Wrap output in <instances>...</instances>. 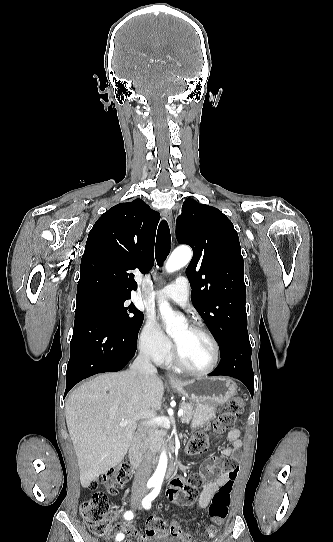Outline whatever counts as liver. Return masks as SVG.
<instances>
[{
	"label": "liver",
	"mask_w": 333,
	"mask_h": 542,
	"mask_svg": "<svg viewBox=\"0 0 333 542\" xmlns=\"http://www.w3.org/2000/svg\"><path fill=\"white\" fill-rule=\"evenodd\" d=\"M138 372L101 374L76 388L65 406L80 482L88 488L124 460L137 428L136 416L161 410L164 386L151 376L145 386ZM128 420V426H120Z\"/></svg>",
	"instance_id": "obj_1"
}]
</instances>
